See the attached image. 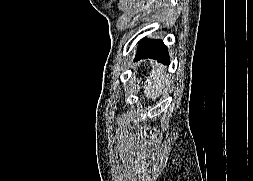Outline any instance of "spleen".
Returning <instances> with one entry per match:
<instances>
[{"label": "spleen", "mask_w": 253, "mask_h": 181, "mask_svg": "<svg viewBox=\"0 0 253 181\" xmlns=\"http://www.w3.org/2000/svg\"><path fill=\"white\" fill-rule=\"evenodd\" d=\"M164 78V67L157 66V68H155L153 66L150 77L146 80V83L143 86L148 98L155 99L158 94L162 92L165 86Z\"/></svg>", "instance_id": "spleen-1"}]
</instances>
